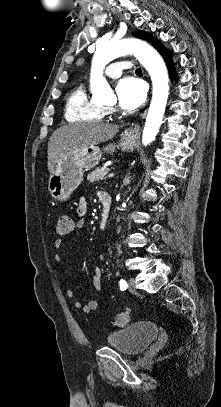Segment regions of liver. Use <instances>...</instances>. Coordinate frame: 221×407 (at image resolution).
<instances>
[{
	"label": "liver",
	"mask_w": 221,
	"mask_h": 407,
	"mask_svg": "<svg viewBox=\"0 0 221 407\" xmlns=\"http://www.w3.org/2000/svg\"><path fill=\"white\" fill-rule=\"evenodd\" d=\"M118 131V125L101 122L72 123L58 128L48 142L49 172L51 173L56 161L64 153L106 142L112 139Z\"/></svg>",
	"instance_id": "6515ba94"
}]
</instances>
